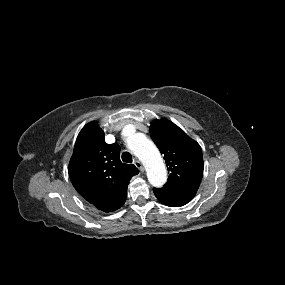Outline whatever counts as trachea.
I'll use <instances>...</instances> for the list:
<instances>
[{"label": "trachea", "mask_w": 285, "mask_h": 285, "mask_svg": "<svg viewBox=\"0 0 285 285\" xmlns=\"http://www.w3.org/2000/svg\"><path fill=\"white\" fill-rule=\"evenodd\" d=\"M122 161L126 163H131L132 162V155L129 152H124L122 154Z\"/></svg>", "instance_id": "1"}]
</instances>
